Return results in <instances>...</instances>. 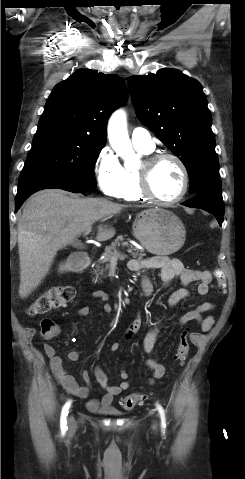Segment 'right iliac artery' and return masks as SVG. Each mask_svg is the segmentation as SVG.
Returning a JSON list of instances; mask_svg holds the SVG:
<instances>
[{
	"label": "right iliac artery",
	"mask_w": 245,
	"mask_h": 479,
	"mask_svg": "<svg viewBox=\"0 0 245 479\" xmlns=\"http://www.w3.org/2000/svg\"><path fill=\"white\" fill-rule=\"evenodd\" d=\"M70 405H71V401H68L67 403H65V405L63 406L62 408V411H61V418H60V429H61V433L64 435L68 429L67 427V415H68V410L70 408Z\"/></svg>",
	"instance_id": "obj_1"
}]
</instances>
